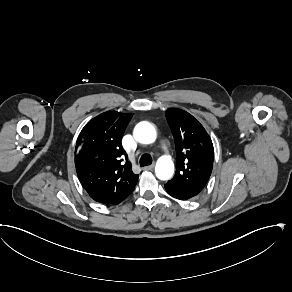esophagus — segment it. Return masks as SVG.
<instances>
[{"label": "esophagus", "instance_id": "esophagus-1", "mask_svg": "<svg viewBox=\"0 0 292 292\" xmlns=\"http://www.w3.org/2000/svg\"><path fill=\"white\" fill-rule=\"evenodd\" d=\"M153 168H154V164L143 167V170L144 171H149V170H152Z\"/></svg>", "mask_w": 292, "mask_h": 292}]
</instances>
